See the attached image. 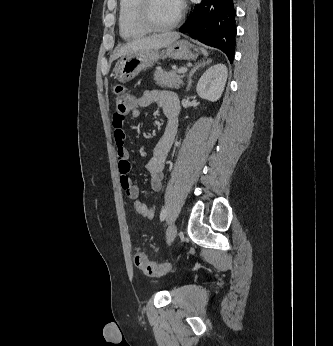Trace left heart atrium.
<instances>
[{
  "label": "left heart atrium",
  "instance_id": "obj_1",
  "mask_svg": "<svg viewBox=\"0 0 333 346\" xmlns=\"http://www.w3.org/2000/svg\"><path fill=\"white\" fill-rule=\"evenodd\" d=\"M173 2L175 3V5L179 8L181 5V0H173Z\"/></svg>",
  "mask_w": 333,
  "mask_h": 346
}]
</instances>
